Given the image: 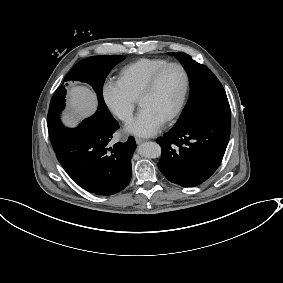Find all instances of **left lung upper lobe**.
<instances>
[{"mask_svg": "<svg viewBox=\"0 0 283 283\" xmlns=\"http://www.w3.org/2000/svg\"><path fill=\"white\" fill-rule=\"evenodd\" d=\"M175 56L187 71L190 81V97L175 126H187L207 116L230 114L225 90L212 71L188 54L178 52Z\"/></svg>", "mask_w": 283, "mask_h": 283, "instance_id": "left-lung-upper-lobe-1", "label": "left lung upper lobe"}]
</instances>
